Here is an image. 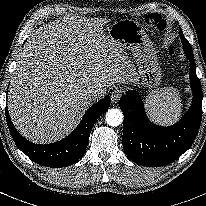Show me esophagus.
<instances>
[{
  "mask_svg": "<svg viewBox=\"0 0 206 206\" xmlns=\"http://www.w3.org/2000/svg\"><path fill=\"white\" fill-rule=\"evenodd\" d=\"M123 92H124V90L121 87H116L115 89H113V91L111 93V101L115 104L118 103Z\"/></svg>",
  "mask_w": 206,
  "mask_h": 206,
  "instance_id": "obj_1",
  "label": "esophagus"
}]
</instances>
